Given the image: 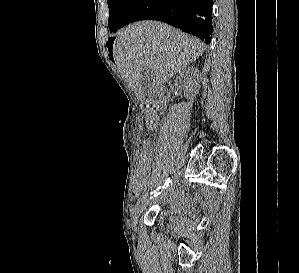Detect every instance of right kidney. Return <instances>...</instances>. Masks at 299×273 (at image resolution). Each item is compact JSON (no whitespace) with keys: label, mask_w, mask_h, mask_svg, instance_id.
<instances>
[{"label":"right kidney","mask_w":299,"mask_h":273,"mask_svg":"<svg viewBox=\"0 0 299 273\" xmlns=\"http://www.w3.org/2000/svg\"><path fill=\"white\" fill-rule=\"evenodd\" d=\"M199 76V70L197 68H188V69H184L182 72H180V75L178 77L180 82H183L186 86V90L185 92L188 93H193V92H197L199 89V84L195 83L192 84L190 82H187L189 79H191L192 77H198Z\"/></svg>","instance_id":"1"}]
</instances>
